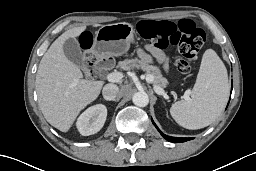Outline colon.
Returning <instances> with one entry per match:
<instances>
[{
    "instance_id": "colon-1",
    "label": "colon",
    "mask_w": 256,
    "mask_h": 171,
    "mask_svg": "<svg viewBox=\"0 0 256 171\" xmlns=\"http://www.w3.org/2000/svg\"><path fill=\"white\" fill-rule=\"evenodd\" d=\"M139 35L150 42L151 46L164 49L169 45L178 47L180 57L175 61V67L181 73L191 71L192 63L205 43V33L191 19L171 20H141L138 23ZM84 48V60L88 74L96 77L94 67L95 56L91 51L92 36L84 32L80 38Z\"/></svg>"
}]
</instances>
